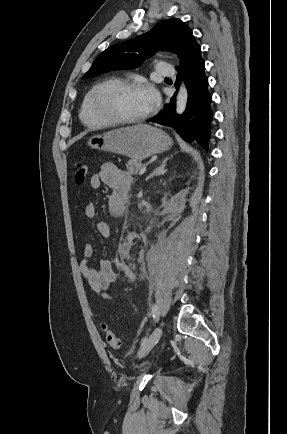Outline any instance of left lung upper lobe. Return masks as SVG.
<instances>
[{
	"instance_id": "obj_1",
	"label": "left lung upper lobe",
	"mask_w": 287,
	"mask_h": 434,
	"mask_svg": "<svg viewBox=\"0 0 287 434\" xmlns=\"http://www.w3.org/2000/svg\"><path fill=\"white\" fill-rule=\"evenodd\" d=\"M157 50L176 53L180 58V67L201 53L191 29L180 19L171 18L159 22L147 33L104 50L83 78L112 70L136 68Z\"/></svg>"
}]
</instances>
